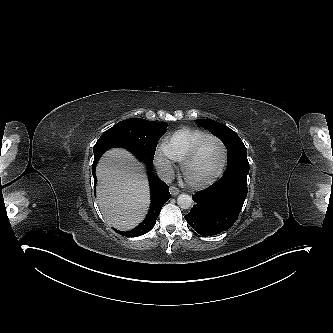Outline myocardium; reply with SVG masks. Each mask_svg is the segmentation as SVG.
Segmentation results:
<instances>
[{
    "label": "myocardium",
    "mask_w": 333,
    "mask_h": 333,
    "mask_svg": "<svg viewBox=\"0 0 333 333\" xmlns=\"http://www.w3.org/2000/svg\"><path fill=\"white\" fill-rule=\"evenodd\" d=\"M216 140L220 143L221 147H222V151H223V157H222V162L221 165L219 167V169L217 170V172L210 177L209 179L203 180V181H194L191 180L188 175H187V166L188 164L197 156L199 150L201 149V147L203 146V144L205 142H207L208 140ZM227 160H228V151H227V147L224 143V141L216 136V135H207L204 138L200 139L195 145H193V147L189 150V152L185 155L184 159L181 162V171L183 174L184 179L186 180V182L193 188H203L206 186H209L211 184H213L215 181H217L220 176L223 174L226 164H227Z\"/></svg>",
    "instance_id": "obj_1"
}]
</instances>
